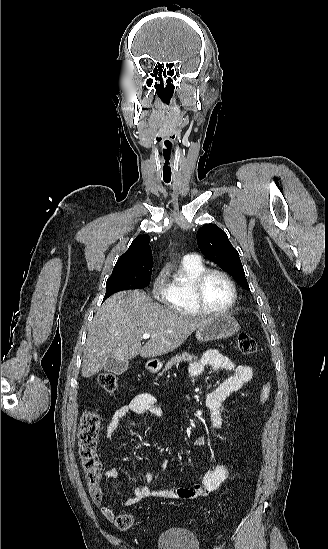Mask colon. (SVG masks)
Instances as JSON below:
<instances>
[{
	"mask_svg": "<svg viewBox=\"0 0 328 549\" xmlns=\"http://www.w3.org/2000/svg\"><path fill=\"white\" fill-rule=\"evenodd\" d=\"M238 348L245 355H252L257 351L256 340L245 333L238 336ZM99 386L108 393H113L118 387V381L114 374L104 372L98 377ZM271 394L269 383L263 385L260 392V404L268 401ZM100 429V417L91 410H86L79 422L78 453L88 484L90 495L95 503H101L103 491L100 486L101 463L97 454V441ZM116 527L122 531H130L135 528L134 518L128 513H120L110 517Z\"/></svg>",
	"mask_w": 328,
	"mask_h": 549,
	"instance_id": "1",
	"label": "colon"
}]
</instances>
